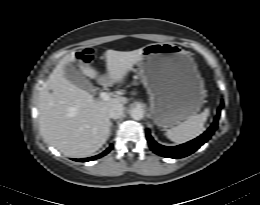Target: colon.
I'll list each match as a JSON object with an SVG mask.
<instances>
[{"mask_svg": "<svg viewBox=\"0 0 260 205\" xmlns=\"http://www.w3.org/2000/svg\"><path fill=\"white\" fill-rule=\"evenodd\" d=\"M82 57L85 61H90L93 58V51L92 49L84 50Z\"/></svg>", "mask_w": 260, "mask_h": 205, "instance_id": "obj_1", "label": "colon"}]
</instances>
